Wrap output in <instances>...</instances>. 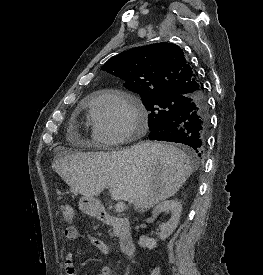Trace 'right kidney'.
<instances>
[{
	"label": "right kidney",
	"mask_w": 263,
	"mask_h": 275,
	"mask_svg": "<svg viewBox=\"0 0 263 275\" xmlns=\"http://www.w3.org/2000/svg\"><path fill=\"white\" fill-rule=\"evenodd\" d=\"M181 210L182 205L178 200H166L154 207L152 211L153 216H158L163 211L171 212V218L169 221L161 225L159 234L161 240L168 238L177 228L180 220ZM138 244L143 248H148L151 250L156 247L157 241L146 236H140Z\"/></svg>",
	"instance_id": "obj_1"
}]
</instances>
